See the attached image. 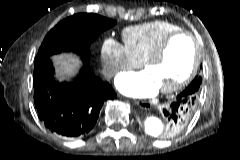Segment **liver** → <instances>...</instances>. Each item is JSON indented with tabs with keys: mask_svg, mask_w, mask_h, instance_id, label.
I'll use <instances>...</instances> for the list:
<instances>
[{
	"mask_svg": "<svg viewBox=\"0 0 240 160\" xmlns=\"http://www.w3.org/2000/svg\"><path fill=\"white\" fill-rule=\"evenodd\" d=\"M51 59L56 66L58 72L56 76L59 81L70 80L77 73V68L80 65L79 58L71 53L53 55Z\"/></svg>",
	"mask_w": 240,
	"mask_h": 160,
	"instance_id": "6515ba94",
	"label": "liver"
}]
</instances>
